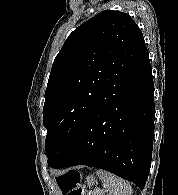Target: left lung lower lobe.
<instances>
[{
  "label": "left lung lower lobe",
  "mask_w": 178,
  "mask_h": 195,
  "mask_svg": "<svg viewBox=\"0 0 178 195\" xmlns=\"http://www.w3.org/2000/svg\"><path fill=\"white\" fill-rule=\"evenodd\" d=\"M154 83L147 58L92 114L83 132L52 168L87 165L143 189L154 138Z\"/></svg>",
  "instance_id": "0a47b994"
}]
</instances>
